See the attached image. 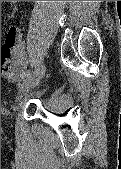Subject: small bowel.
Here are the masks:
<instances>
[{
    "label": "small bowel",
    "mask_w": 121,
    "mask_h": 169,
    "mask_svg": "<svg viewBox=\"0 0 121 169\" xmlns=\"http://www.w3.org/2000/svg\"><path fill=\"white\" fill-rule=\"evenodd\" d=\"M17 3L20 1H2ZM28 63L25 45L21 39L19 29L11 27L7 33L4 44L1 47V75L9 81L22 78L23 67Z\"/></svg>",
    "instance_id": "1"
}]
</instances>
